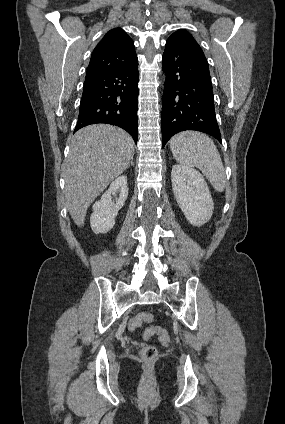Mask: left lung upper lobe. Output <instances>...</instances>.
<instances>
[{
	"instance_id": "obj_1",
	"label": "left lung upper lobe",
	"mask_w": 285,
	"mask_h": 424,
	"mask_svg": "<svg viewBox=\"0 0 285 424\" xmlns=\"http://www.w3.org/2000/svg\"><path fill=\"white\" fill-rule=\"evenodd\" d=\"M183 39L188 42L197 43L196 40L192 37L190 33H188L186 30H180L174 32L168 39Z\"/></svg>"
}]
</instances>
